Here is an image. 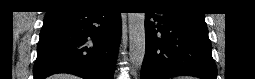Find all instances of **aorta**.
<instances>
[{"instance_id":"1","label":"aorta","mask_w":255,"mask_h":79,"mask_svg":"<svg viewBox=\"0 0 255 79\" xmlns=\"http://www.w3.org/2000/svg\"><path fill=\"white\" fill-rule=\"evenodd\" d=\"M129 61L132 73L142 67L145 55V13H128Z\"/></svg>"}]
</instances>
